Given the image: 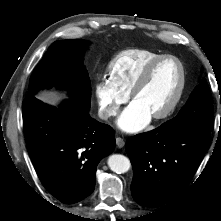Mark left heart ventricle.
Instances as JSON below:
<instances>
[{"label": "left heart ventricle", "instance_id": "1", "mask_svg": "<svg viewBox=\"0 0 221 221\" xmlns=\"http://www.w3.org/2000/svg\"><path fill=\"white\" fill-rule=\"evenodd\" d=\"M180 82L179 65L171 59L161 62L134 101L151 116L162 111L173 99Z\"/></svg>", "mask_w": 221, "mask_h": 221}]
</instances>
